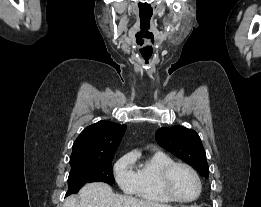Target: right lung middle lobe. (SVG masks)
Returning <instances> with one entry per match:
<instances>
[{"label":"right lung middle lobe","instance_id":"right-lung-middle-lobe-1","mask_svg":"<svg viewBox=\"0 0 261 207\" xmlns=\"http://www.w3.org/2000/svg\"><path fill=\"white\" fill-rule=\"evenodd\" d=\"M113 157L105 160L86 161L71 164L66 196L77 193L83 185L91 182L115 183L112 169Z\"/></svg>","mask_w":261,"mask_h":207}]
</instances>
